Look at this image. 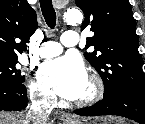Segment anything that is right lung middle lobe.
<instances>
[{
	"mask_svg": "<svg viewBox=\"0 0 145 124\" xmlns=\"http://www.w3.org/2000/svg\"><path fill=\"white\" fill-rule=\"evenodd\" d=\"M18 55L0 52V83H23L25 76L16 67Z\"/></svg>",
	"mask_w": 145,
	"mask_h": 124,
	"instance_id": "1",
	"label": "right lung middle lobe"
}]
</instances>
